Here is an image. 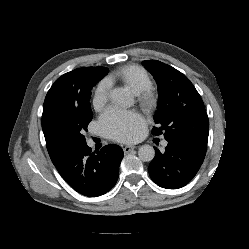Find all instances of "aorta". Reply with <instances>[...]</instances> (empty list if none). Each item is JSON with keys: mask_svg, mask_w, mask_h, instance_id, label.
I'll list each match as a JSON object with an SVG mask.
<instances>
[{"mask_svg": "<svg viewBox=\"0 0 249 249\" xmlns=\"http://www.w3.org/2000/svg\"><path fill=\"white\" fill-rule=\"evenodd\" d=\"M110 98L117 104L123 106H131L133 104V98L130 92L123 87L114 88L110 92ZM139 159L143 162H150L154 159L155 150L151 145H142L138 150Z\"/></svg>", "mask_w": 249, "mask_h": 249, "instance_id": "762f6f07", "label": "aorta"}]
</instances>
